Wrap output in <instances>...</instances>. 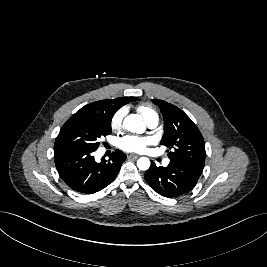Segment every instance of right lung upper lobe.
<instances>
[{"label": "right lung upper lobe", "mask_w": 267, "mask_h": 267, "mask_svg": "<svg viewBox=\"0 0 267 267\" xmlns=\"http://www.w3.org/2000/svg\"><path fill=\"white\" fill-rule=\"evenodd\" d=\"M137 100L136 97H124L111 100H100L82 107L73 116L90 117L95 115L113 117L114 113L123 105Z\"/></svg>", "instance_id": "right-lung-upper-lobe-1"}]
</instances>
